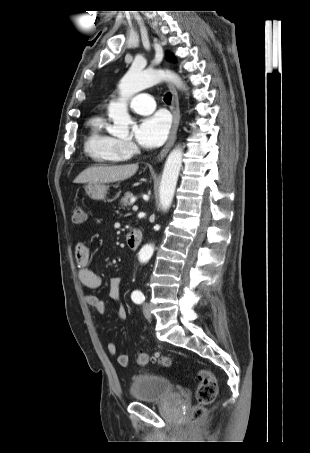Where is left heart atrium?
Listing matches in <instances>:
<instances>
[{"label": "left heart atrium", "mask_w": 310, "mask_h": 453, "mask_svg": "<svg viewBox=\"0 0 310 453\" xmlns=\"http://www.w3.org/2000/svg\"><path fill=\"white\" fill-rule=\"evenodd\" d=\"M170 119L165 113H156L143 118L135 128L137 142L145 148L160 146L167 138Z\"/></svg>", "instance_id": "1"}]
</instances>
